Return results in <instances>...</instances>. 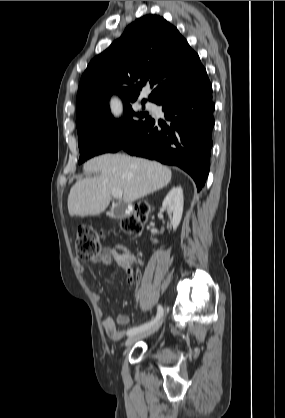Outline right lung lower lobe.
Masks as SVG:
<instances>
[{"label": "right lung lower lobe", "instance_id": "obj_1", "mask_svg": "<svg viewBox=\"0 0 285 418\" xmlns=\"http://www.w3.org/2000/svg\"><path fill=\"white\" fill-rule=\"evenodd\" d=\"M156 104L162 105L170 126L152 119L119 149L182 168L200 190L210 169L215 108L206 70L168 92Z\"/></svg>", "mask_w": 285, "mask_h": 418}]
</instances>
